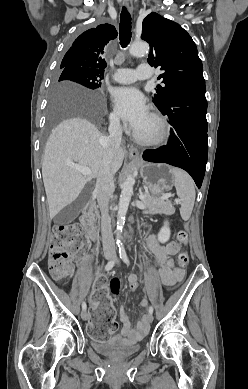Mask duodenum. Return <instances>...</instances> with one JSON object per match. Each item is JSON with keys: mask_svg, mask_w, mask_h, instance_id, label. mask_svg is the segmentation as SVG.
<instances>
[{"mask_svg": "<svg viewBox=\"0 0 248 389\" xmlns=\"http://www.w3.org/2000/svg\"><path fill=\"white\" fill-rule=\"evenodd\" d=\"M98 209L96 205L91 204L88 212L81 216V224L88 237L92 240L96 237L95 221L97 219Z\"/></svg>", "mask_w": 248, "mask_h": 389, "instance_id": "410a0bca", "label": "duodenum"}]
</instances>
